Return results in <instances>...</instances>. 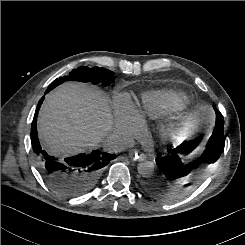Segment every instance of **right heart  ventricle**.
<instances>
[{
  "label": "right heart ventricle",
  "mask_w": 245,
  "mask_h": 245,
  "mask_svg": "<svg viewBox=\"0 0 245 245\" xmlns=\"http://www.w3.org/2000/svg\"><path fill=\"white\" fill-rule=\"evenodd\" d=\"M185 103L186 96L180 92L167 89L150 90L141 94L136 110L142 120L156 119L183 107Z\"/></svg>",
  "instance_id": "right-heart-ventricle-1"
}]
</instances>
